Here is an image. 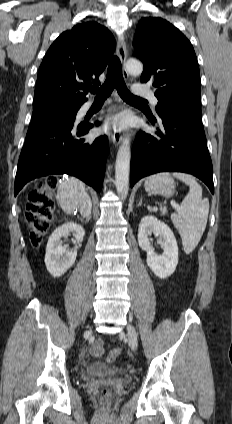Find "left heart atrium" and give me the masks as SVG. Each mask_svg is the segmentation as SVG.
<instances>
[{
    "mask_svg": "<svg viewBox=\"0 0 232 424\" xmlns=\"http://www.w3.org/2000/svg\"><path fill=\"white\" fill-rule=\"evenodd\" d=\"M128 126V118L123 114L108 117L103 129L108 132H116L125 129Z\"/></svg>",
    "mask_w": 232,
    "mask_h": 424,
    "instance_id": "left-heart-atrium-1",
    "label": "left heart atrium"
}]
</instances>
